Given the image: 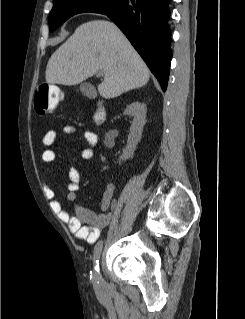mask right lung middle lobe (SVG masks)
I'll return each instance as SVG.
<instances>
[{"label":"right lung middle lobe","instance_id":"obj_1","mask_svg":"<svg viewBox=\"0 0 245 319\" xmlns=\"http://www.w3.org/2000/svg\"><path fill=\"white\" fill-rule=\"evenodd\" d=\"M123 0H54L49 15L50 31H54L71 16L82 12L106 14L116 9Z\"/></svg>","mask_w":245,"mask_h":319}]
</instances>
